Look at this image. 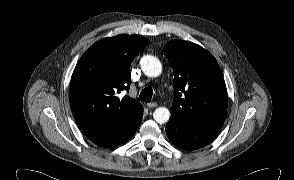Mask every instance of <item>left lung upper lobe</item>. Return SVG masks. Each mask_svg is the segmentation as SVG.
<instances>
[{
	"label": "left lung upper lobe",
	"mask_w": 294,
	"mask_h": 180,
	"mask_svg": "<svg viewBox=\"0 0 294 180\" xmlns=\"http://www.w3.org/2000/svg\"><path fill=\"white\" fill-rule=\"evenodd\" d=\"M174 71L171 116L190 125H223L227 89L216 59L201 46L171 40L163 47Z\"/></svg>",
	"instance_id": "5c2ea615"
}]
</instances>
